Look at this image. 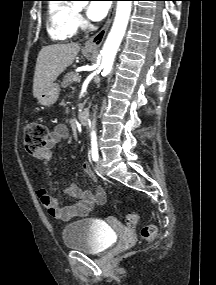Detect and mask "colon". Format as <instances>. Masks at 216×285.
Masks as SVG:
<instances>
[{"mask_svg":"<svg viewBox=\"0 0 216 285\" xmlns=\"http://www.w3.org/2000/svg\"><path fill=\"white\" fill-rule=\"evenodd\" d=\"M47 127L38 121L28 122L23 130V143L26 151L34 157L43 158L46 153L48 141ZM139 216L136 212H129L125 215V223L128 227L137 226ZM156 226L153 224L144 225L141 229V236L145 240H152L156 236Z\"/></svg>","mask_w":216,"mask_h":285,"instance_id":"5ec220e1","label":"colon"}]
</instances>
